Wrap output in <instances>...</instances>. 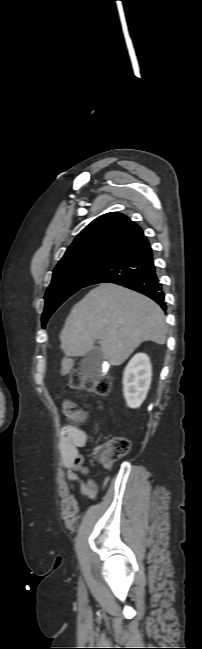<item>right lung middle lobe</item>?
<instances>
[{"label":"right lung middle lobe","mask_w":202,"mask_h":649,"mask_svg":"<svg viewBox=\"0 0 202 649\" xmlns=\"http://www.w3.org/2000/svg\"><path fill=\"white\" fill-rule=\"evenodd\" d=\"M114 255L110 252L93 251L60 260L53 271L51 284L45 294L43 327L53 312L67 298L83 288L91 276Z\"/></svg>","instance_id":"1"}]
</instances>
